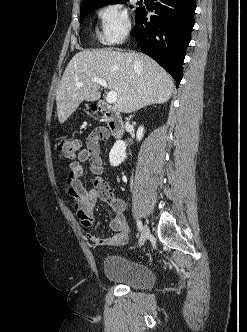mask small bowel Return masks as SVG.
Masks as SVG:
<instances>
[{
    "label": "small bowel",
    "instance_id": "1",
    "mask_svg": "<svg viewBox=\"0 0 247 332\" xmlns=\"http://www.w3.org/2000/svg\"><path fill=\"white\" fill-rule=\"evenodd\" d=\"M108 137V131L103 127L95 129L88 136L86 147L78 152L74 161L70 162L65 181L69 195L74 198L78 219L82 226L86 228L92 226L97 199L106 202L115 213L110 222L115 234L110 237H98L88 233L87 239L92 247L122 245L127 240L126 203L113 194L111 187L102 177L104 166L100 156V141L107 140ZM86 162H89L90 172L95 176L91 188L83 183V163Z\"/></svg>",
    "mask_w": 247,
    "mask_h": 332
}]
</instances>
